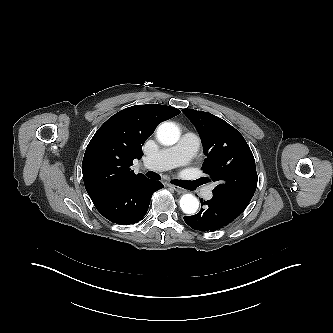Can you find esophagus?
I'll use <instances>...</instances> for the list:
<instances>
[{"label": "esophagus", "instance_id": "esophagus-1", "mask_svg": "<svg viewBox=\"0 0 333 333\" xmlns=\"http://www.w3.org/2000/svg\"><path fill=\"white\" fill-rule=\"evenodd\" d=\"M168 186L170 188L174 189L178 193H185L186 192L183 188H180L178 186H175V185H172V184H169Z\"/></svg>", "mask_w": 333, "mask_h": 333}]
</instances>
